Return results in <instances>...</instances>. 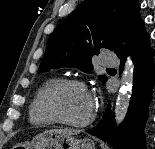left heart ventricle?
I'll list each match as a JSON object with an SVG mask.
<instances>
[{"instance_id":"1","label":"left heart ventricle","mask_w":155,"mask_h":149,"mask_svg":"<svg viewBox=\"0 0 155 149\" xmlns=\"http://www.w3.org/2000/svg\"><path fill=\"white\" fill-rule=\"evenodd\" d=\"M54 102L59 112L71 121L86 119L93 108L91 96L76 86H67L58 90Z\"/></svg>"}]
</instances>
